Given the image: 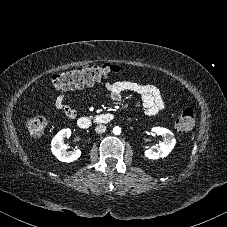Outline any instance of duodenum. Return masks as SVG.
<instances>
[{"mask_svg":"<svg viewBox=\"0 0 227 227\" xmlns=\"http://www.w3.org/2000/svg\"><path fill=\"white\" fill-rule=\"evenodd\" d=\"M113 120L111 113H104L96 116L95 118L81 117L77 121V125L81 129H88L95 124H106Z\"/></svg>","mask_w":227,"mask_h":227,"instance_id":"410a0bca","label":"duodenum"}]
</instances>
